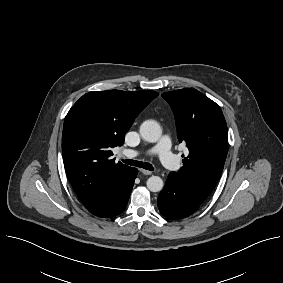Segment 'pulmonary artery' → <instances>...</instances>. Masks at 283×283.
I'll return each instance as SVG.
<instances>
[{
  "mask_svg": "<svg viewBox=\"0 0 283 283\" xmlns=\"http://www.w3.org/2000/svg\"><path fill=\"white\" fill-rule=\"evenodd\" d=\"M170 147V138L168 136H163L157 145L148 150V154L158 155L163 166L174 170L179 165V160L177 156L172 153ZM122 154L127 158H136L140 155L138 151L134 150H125Z\"/></svg>",
  "mask_w": 283,
  "mask_h": 283,
  "instance_id": "pulmonary-artery-1",
  "label": "pulmonary artery"
}]
</instances>
